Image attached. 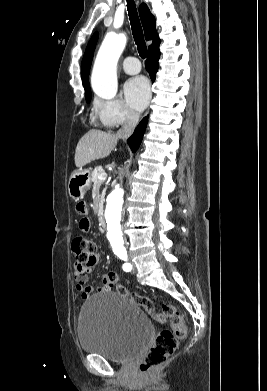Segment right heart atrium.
<instances>
[{
  "mask_svg": "<svg viewBox=\"0 0 267 391\" xmlns=\"http://www.w3.org/2000/svg\"><path fill=\"white\" fill-rule=\"evenodd\" d=\"M93 112L97 120L108 128L129 125L137 120V114L121 99H97Z\"/></svg>",
  "mask_w": 267,
  "mask_h": 391,
  "instance_id": "d8ad5b80",
  "label": "right heart atrium"
}]
</instances>
